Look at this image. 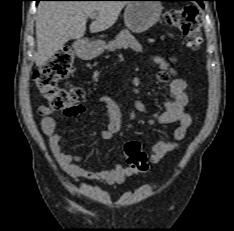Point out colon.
<instances>
[{
    "label": "colon",
    "mask_w": 234,
    "mask_h": 231,
    "mask_svg": "<svg viewBox=\"0 0 234 231\" xmlns=\"http://www.w3.org/2000/svg\"><path fill=\"white\" fill-rule=\"evenodd\" d=\"M167 26L178 29L191 46L201 43V26L198 11L192 5L167 11L163 16ZM74 72L73 56L67 49L58 52L43 67L35 71L33 81L41 96L56 110L68 111L78 105L85 98V91L81 87H61L58 83L70 77ZM162 81H167L170 74H159ZM125 156L128 163L136 172L144 173L148 169L147 154L138 142L129 141L125 145Z\"/></svg>",
    "instance_id": "colon-1"
}]
</instances>
